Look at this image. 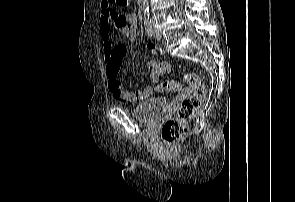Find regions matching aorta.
<instances>
[{"label":"aorta","mask_w":295,"mask_h":202,"mask_svg":"<svg viewBox=\"0 0 295 202\" xmlns=\"http://www.w3.org/2000/svg\"><path fill=\"white\" fill-rule=\"evenodd\" d=\"M143 4V12L145 17L150 16V10H149V0H141Z\"/></svg>","instance_id":"1"}]
</instances>
